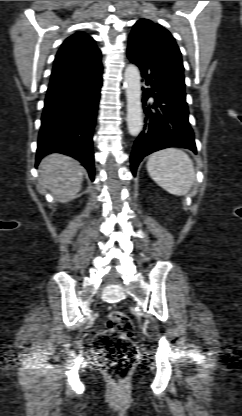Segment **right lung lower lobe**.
<instances>
[{
  "mask_svg": "<svg viewBox=\"0 0 242 416\" xmlns=\"http://www.w3.org/2000/svg\"><path fill=\"white\" fill-rule=\"evenodd\" d=\"M102 69L72 82L49 85L39 132L36 165L58 152L79 160L94 180L93 130Z\"/></svg>",
  "mask_w": 242,
  "mask_h": 416,
  "instance_id": "98d812e1",
  "label": "right lung lower lobe"
}]
</instances>
